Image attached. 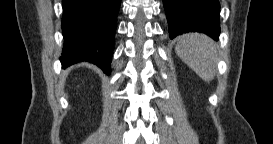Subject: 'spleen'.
<instances>
[{
    "instance_id": "1",
    "label": "spleen",
    "mask_w": 273,
    "mask_h": 144,
    "mask_svg": "<svg viewBox=\"0 0 273 144\" xmlns=\"http://www.w3.org/2000/svg\"><path fill=\"white\" fill-rule=\"evenodd\" d=\"M175 51L201 79L209 82L214 78L216 48L211 38L198 33L182 35L178 39Z\"/></svg>"
}]
</instances>
